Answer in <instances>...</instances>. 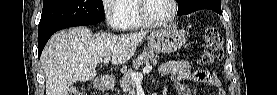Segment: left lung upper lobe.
<instances>
[{
    "label": "left lung upper lobe",
    "instance_id": "left-lung-upper-lobe-1",
    "mask_svg": "<svg viewBox=\"0 0 277 95\" xmlns=\"http://www.w3.org/2000/svg\"><path fill=\"white\" fill-rule=\"evenodd\" d=\"M177 2L178 15L189 14L200 9H210L222 14L220 0H177Z\"/></svg>",
    "mask_w": 277,
    "mask_h": 95
}]
</instances>
